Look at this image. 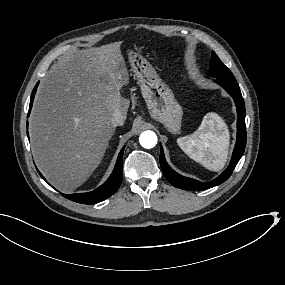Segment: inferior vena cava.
Listing matches in <instances>:
<instances>
[{
    "instance_id": "obj_1",
    "label": "inferior vena cava",
    "mask_w": 285,
    "mask_h": 285,
    "mask_svg": "<svg viewBox=\"0 0 285 285\" xmlns=\"http://www.w3.org/2000/svg\"><path fill=\"white\" fill-rule=\"evenodd\" d=\"M125 119H126V117L122 114V112L120 110H116L113 113V116L111 118V122L114 126H119V125H123V122Z\"/></svg>"
}]
</instances>
